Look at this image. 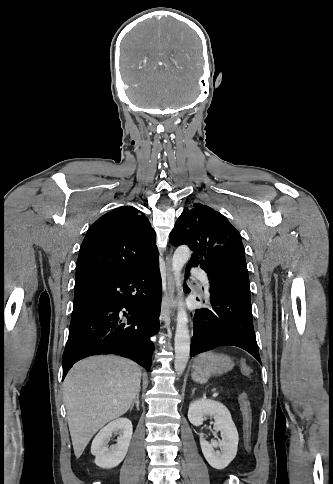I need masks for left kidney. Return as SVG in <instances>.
<instances>
[{"label": "left kidney", "mask_w": 333, "mask_h": 484, "mask_svg": "<svg viewBox=\"0 0 333 484\" xmlns=\"http://www.w3.org/2000/svg\"><path fill=\"white\" fill-rule=\"evenodd\" d=\"M209 415L215 420V430L220 431L222 440L209 443L204 434H199L202 453L207 462L215 469H224L235 458L238 449V432L229 410L220 402L212 399H197L189 406L188 419L194 426L203 424ZM221 451H215L214 448Z\"/></svg>", "instance_id": "obj_1"}]
</instances>
